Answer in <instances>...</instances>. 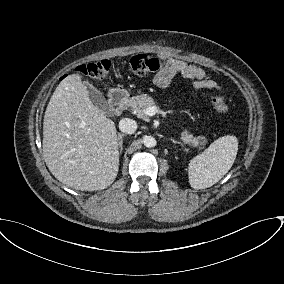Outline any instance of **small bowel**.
I'll return each instance as SVG.
<instances>
[{
  "instance_id": "small-bowel-1",
  "label": "small bowel",
  "mask_w": 284,
  "mask_h": 284,
  "mask_svg": "<svg viewBox=\"0 0 284 284\" xmlns=\"http://www.w3.org/2000/svg\"><path fill=\"white\" fill-rule=\"evenodd\" d=\"M161 58L164 59L165 63L154 77V83L157 87L166 88L176 75H181L184 78L195 80L193 84L195 91L204 88H217V84L207 78L202 67L172 57L162 56Z\"/></svg>"
}]
</instances>
